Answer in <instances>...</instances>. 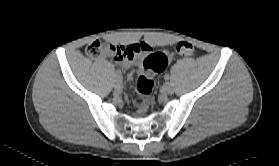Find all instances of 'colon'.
<instances>
[{"mask_svg": "<svg viewBox=\"0 0 279 166\" xmlns=\"http://www.w3.org/2000/svg\"><path fill=\"white\" fill-rule=\"evenodd\" d=\"M138 45L122 46L94 41L86 47V54L91 58L100 57L103 54H112L118 58H131L140 53ZM176 52L182 57H191L195 54V47L186 41L179 42ZM165 57L160 53H148L143 60L144 72L137 79V91L142 96H148L154 87L152 75L164 70ZM145 108V104H143Z\"/></svg>", "mask_w": 279, "mask_h": 166, "instance_id": "obj_1", "label": "colon"}]
</instances>
